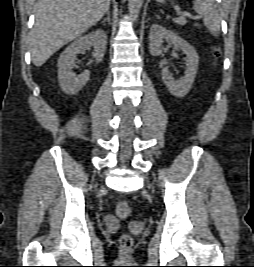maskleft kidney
<instances>
[{
	"instance_id": "1",
	"label": "left kidney",
	"mask_w": 254,
	"mask_h": 267,
	"mask_svg": "<svg viewBox=\"0 0 254 267\" xmlns=\"http://www.w3.org/2000/svg\"><path fill=\"white\" fill-rule=\"evenodd\" d=\"M167 43L176 49H181L186 54V70L184 76L175 81L167 68L162 70V79L168 91L176 97H184L188 94L194 82L199 63V56L192 45L181 38L178 34L167 30L161 25L154 24L150 28V44L149 49L152 56L162 54V44Z\"/></svg>"
}]
</instances>
